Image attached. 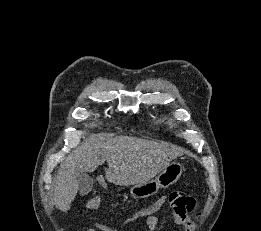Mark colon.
Wrapping results in <instances>:
<instances>
[{"mask_svg":"<svg viewBox=\"0 0 261 231\" xmlns=\"http://www.w3.org/2000/svg\"><path fill=\"white\" fill-rule=\"evenodd\" d=\"M169 210L182 221L195 220L200 217L193 197L184 192H171L168 194ZM160 207L159 204H151L145 208V212H152Z\"/></svg>","mask_w":261,"mask_h":231,"instance_id":"obj_1","label":"colon"}]
</instances>
